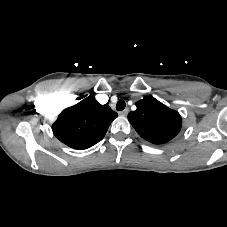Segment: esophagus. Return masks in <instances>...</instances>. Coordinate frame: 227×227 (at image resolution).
<instances>
[{"label":"esophagus","mask_w":227,"mask_h":227,"mask_svg":"<svg viewBox=\"0 0 227 227\" xmlns=\"http://www.w3.org/2000/svg\"><path fill=\"white\" fill-rule=\"evenodd\" d=\"M128 112H129V109L128 108H125L123 111L119 112V114L121 116H126L128 114Z\"/></svg>","instance_id":"obj_1"}]
</instances>
